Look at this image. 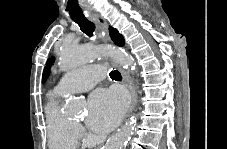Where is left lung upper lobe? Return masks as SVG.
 Returning <instances> with one entry per match:
<instances>
[{
    "label": "left lung upper lobe",
    "mask_w": 227,
    "mask_h": 149,
    "mask_svg": "<svg viewBox=\"0 0 227 149\" xmlns=\"http://www.w3.org/2000/svg\"><path fill=\"white\" fill-rule=\"evenodd\" d=\"M49 65H50V61H48L47 66H46V68L43 71L42 82H45L46 78L49 76V73H50V71H49V68H50Z\"/></svg>",
    "instance_id": "obj_1"
}]
</instances>
